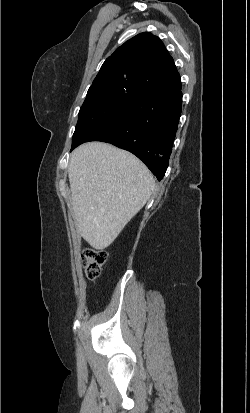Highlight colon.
<instances>
[{
    "instance_id": "1",
    "label": "colon",
    "mask_w": 250,
    "mask_h": 413,
    "mask_svg": "<svg viewBox=\"0 0 250 413\" xmlns=\"http://www.w3.org/2000/svg\"><path fill=\"white\" fill-rule=\"evenodd\" d=\"M107 260V253L105 250L88 248L82 255L83 267L86 276L94 280L101 274L102 267Z\"/></svg>"
}]
</instances>
